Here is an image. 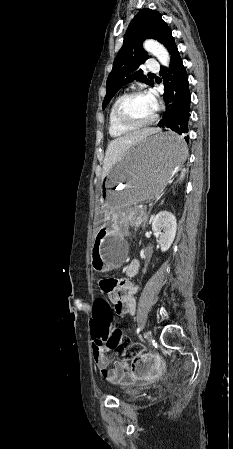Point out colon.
Here are the masks:
<instances>
[{
    "label": "colon",
    "mask_w": 233,
    "mask_h": 449,
    "mask_svg": "<svg viewBox=\"0 0 233 449\" xmlns=\"http://www.w3.org/2000/svg\"><path fill=\"white\" fill-rule=\"evenodd\" d=\"M101 288V286H100ZM89 326L92 336L93 349L115 350L124 358H132L136 369L142 366L139 354L142 345L131 343L128 336L124 335L119 328L112 329L110 323L114 318V311L106 301H95Z\"/></svg>",
    "instance_id": "1"
}]
</instances>
